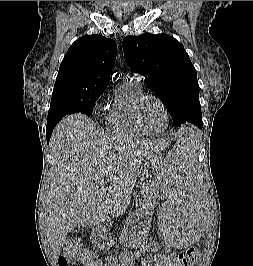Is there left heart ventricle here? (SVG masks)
Here are the masks:
<instances>
[{"mask_svg":"<svg viewBox=\"0 0 253 266\" xmlns=\"http://www.w3.org/2000/svg\"><path fill=\"white\" fill-rule=\"evenodd\" d=\"M140 118L144 127L152 132H160L166 125V118L161 106L153 99L143 102Z\"/></svg>","mask_w":253,"mask_h":266,"instance_id":"1","label":"left heart ventricle"}]
</instances>
